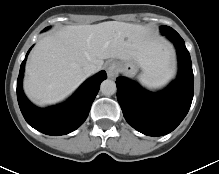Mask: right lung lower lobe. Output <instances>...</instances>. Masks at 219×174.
Listing matches in <instances>:
<instances>
[{
	"mask_svg": "<svg viewBox=\"0 0 219 174\" xmlns=\"http://www.w3.org/2000/svg\"><path fill=\"white\" fill-rule=\"evenodd\" d=\"M26 58L20 66L17 99L27 123L41 133L53 136L65 135L76 130L86 120L100 83L107 78L106 72L101 71L85 81L67 102L41 109L34 106L22 90Z\"/></svg>",
	"mask_w": 219,
	"mask_h": 174,
	"instance_id": "98d812e1",
	"label": "right lung lower lobe"
}]
</instances>
